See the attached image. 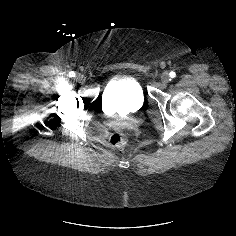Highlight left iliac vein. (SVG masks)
Here are the masks:
<instances>
[{
  "mask_svg": "<svg viewBox=\"0 0 236 236\" xmlns=\"http://www.w3.org/2000/svg\"><path fill=\"white\" fill-rule=\"evenodd\" d=\"M169 80H170L169 75L167 73H163L161 76V81L166 84L169 82Z\"/></svg>",
  "mask_w": 236,
  "mask_h": 236,
  "instance_id": "1",
  "label": "left iliac vein"
}]
</instances>
